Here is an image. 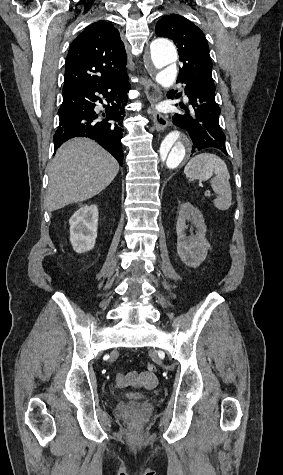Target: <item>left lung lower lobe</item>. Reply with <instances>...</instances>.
Instances as JSON below:
<instances>
[{
	"mask_svg": "<svg viewBox=\"0 0 283 475\" xmlns=\"http://www.w3.org/2000/svg\"><path fill=\"white\" fill-rule=\"evenodd\" d=\"M186 84L185 94L192 105L190 114L173 117L174 123L186 129L192 140V153L204 148H217L227 154L225 135L219 125L220 108L215 102V86L196 80L177 79ZM187 112L189 110L186 107Z\"/></svg>",
	"mask_w": 283,
	"mask_h": 475,
	"instance_id": "1",
	"label": "left lung lower lobe"
}]
</instances>
